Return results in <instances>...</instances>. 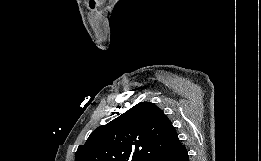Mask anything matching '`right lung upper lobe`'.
<instances>
[{
	"label": "right lung upper lobe",
	"mask_w": 261,
	"mask_h": 161,
	"mask_svg": "<svg viewBox=\"0 0 261 161\" xmlns=\"http://www.w3.org/2000/svg\"><path fill=\"white\" fill-rule=\"evenodd\" d=\"M180 145L164 112L151 102H141L96 128L78 147L75 161H150Z\"/></svg>",
	"instance_id": "right-lung-upper-lobe-1"
}]
</instances>
